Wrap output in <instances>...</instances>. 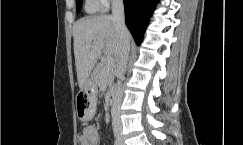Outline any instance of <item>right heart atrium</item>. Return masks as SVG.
Segmentation results:
<instances>
[{
	"label": "right heart atrium",
	"mask_w": 243,
	"mask_h": 145,
	"mask_svg": "<svg viewBox=\"0 0 243 145\" xmlns=\"http://www.w3.org/2000/svg\"><path fill=\"white\" fill-rule=\"evenodd\" d=\"M103 7H108L112 2L117 0H99Z\"/></svg>",
	"instance_id": "right-heart-atrium-1"
}]
</instances>
